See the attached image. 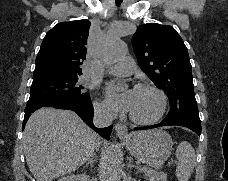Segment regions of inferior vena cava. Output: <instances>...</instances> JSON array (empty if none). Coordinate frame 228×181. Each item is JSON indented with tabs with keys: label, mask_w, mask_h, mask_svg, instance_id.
Returning a JSON list of instances; mask_svg holds the SVG:
<instances>
[{
	"label": "inferior vena cava",
	"mask_w": 228,
	"mask_h": 181,
	"mask_svg": "<svg viewBox=\"0 0 228 181\" xmlns=\"http://www.w3.org/2000/svg\"><path fill=\"white\" fill-rule=\"evenodd\" d=\"M112 121H114V115H112V113H109V111H106V109L100 107V105H95L93 117L95 127H99V129L109 127V125H112Z\"/></svg>",
	"instance_id": "inferior-vena-cava-1"
}]
</instances>
